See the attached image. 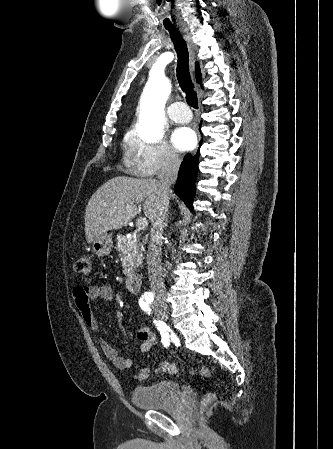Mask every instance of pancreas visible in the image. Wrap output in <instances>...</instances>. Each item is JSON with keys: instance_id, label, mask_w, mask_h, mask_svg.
<instances>
[{"instance_id": "cf45deb5", "label": "pancreas", "mask_w": 333, "mask_h": 449, "mask_svg": "<svg viewBox=\"0 0 333 449\" xmlns=\"http://www.w3.org/2000/svg\"><path fill=\"white\" fill-rule=\"evenodd\" d=\"M116 249L122 254L123 273L130 276L143 260V253L137 239L118 236Z\"/></svg>"}]
</instances>
